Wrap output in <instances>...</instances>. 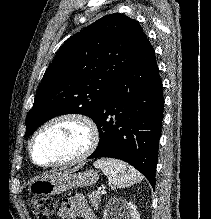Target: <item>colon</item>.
I'll use <instances>...</instances> for the list:
<instances>
[{
    "label": "colon",
    "mask_w": 211,
    "mask_h": 219,
    "mask_svg": "<svg viewBox=\"0 0 211 219\" xmlns=\"http://www.w3.org/2000/svg\"><path fill=\"white\" fill-rule=\"evenodd\" d=\"M29 209L37 219H50L55 211V202L48 198H32Z\"/></svg>",
    "instance_id": "1"
}]
</instances>
